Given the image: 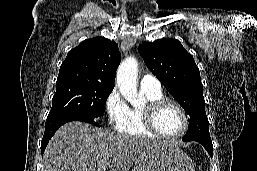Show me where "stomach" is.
Segmentation results:
<instances>
[{"label":"stomach","instance_id":"stomach-1","mask_svg":"<svg viewBox=\"0 0 257 171\" xmlns=\"http://www.w3.org/2000/svg\"><path fill=\"white\" fill-rule=\"evenodd\" d=\"M134 171H195L191 158L178 146L160 143L140 152Z\"/></svg>","mask_w":257,"mask_h":171}]
</instances>
